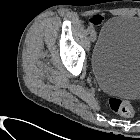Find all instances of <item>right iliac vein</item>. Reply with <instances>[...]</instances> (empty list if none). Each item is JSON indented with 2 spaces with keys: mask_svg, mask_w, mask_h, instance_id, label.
Segmentation results:
<instances>
[{
  "mask_svg": "<svg viewBox=\"0 0 140 140\" xmlns=\"http://www.w3.org/2000/svg\"><path fill=\"white\" fill-rule=\"evenodd\" d=\"M90 39H91L92 42H94L96 40V32L95 31L91 32Z\"/></svg>",
  "mask_w": 140,
  "mask_h": 140,
  "instance_id": "63e3f726",
  "label": "right iliac vein"
}]
</instances>
